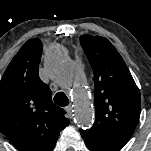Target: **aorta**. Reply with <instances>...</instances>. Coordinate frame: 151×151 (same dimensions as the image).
Returning <instances> with one entry per match:
<instances>
[{
  "label": "aorta",
  "mask_w": 151,
  "mask_h": 151,
  "mask_svg": "<svg viewBox=\"0 0 151 151\" xmlns=\"http://www.w3.org/2000/svg\"><path fill=\"white\" fill-rule=\"evenodd\" d=\"M48 69L50 73L73 85L71 97L74 104V116L81 128H88L93 122V111L86 90L76 81L74 65L67 59L66 53L61 46H54L48 55Z\"/></svg>",
  "instance_id": "762f6f07"
}]
</instances>
